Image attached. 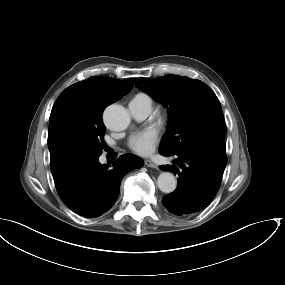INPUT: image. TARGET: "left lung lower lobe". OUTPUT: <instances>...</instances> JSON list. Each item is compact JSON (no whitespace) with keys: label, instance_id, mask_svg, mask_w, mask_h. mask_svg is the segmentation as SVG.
<instances>
[{"label":"left lung lower lobe","instance_id":"obj_1","mask_svg":"<svg viewBox=\"0 0 285 285\" xmlns=\"http://www.w3.org/2000/svg\"><path fill=\"white\" fill-rule=\"evenodd\" d=\"M164 156H172L162 154ZM177 166L161 165L164 171L176 172L177 188L162 198L163 205L175 215L194 214L206 208L221 184L227 163L225 153L200 149L174 155Z\"/></svg>","mask_w":285,"mask_h":285}]
</instances>
